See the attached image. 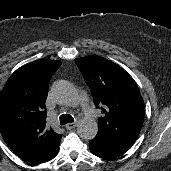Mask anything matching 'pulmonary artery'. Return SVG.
Returning a JSON list of instances; mask_svg holds the SVG:
<instances>
[{
    "label": "pulmonary artery",
    "instance_id": "pulmonary-artery-1",
    "mask_svg": "<svg viewBox=\"0 0 171 171\" xmlns=\"http://www.w3.org/2000/svg\"><path fill=\"white\" fill-rule=\"evenodd\" d=\"M85 103H86V100H85ZM94 114H95V111H94V110H91V109L87 108V110H86V115H87L88 117H91V116H93Z\"/></svg>",
    "mask_w": 171,
    "mask_h": 171
}]
</instances>
